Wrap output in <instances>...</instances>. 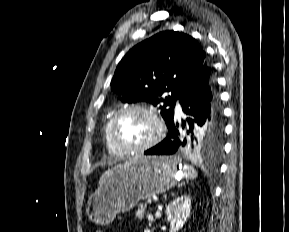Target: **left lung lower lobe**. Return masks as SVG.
<instances>
[{
    "label": "left lung lower lobe",
    "instance_id": "obj_1",
    "mask_svg": "<svg viewBox=\"0 0 289 232\" xmlns=\"http://www.w3.org/2000/svg\"><path fill=\"white\" fill-rule=\"evenodd\" d=\"M186 120L179 124L174 118L168 126V136L146 155H172L186 152L187 136L201 130L209 123L222 122V113L216 91L213 68L205 61L179 98ZM182 129H185L184 134Z\"/></svg>",
    "mask_w": 289,
    "mask_h": 232
}]
</instances>
